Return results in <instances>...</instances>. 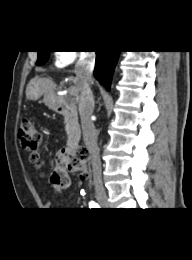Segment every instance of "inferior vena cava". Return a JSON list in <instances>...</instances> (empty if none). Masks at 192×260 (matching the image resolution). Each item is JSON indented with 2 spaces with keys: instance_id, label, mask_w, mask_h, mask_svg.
Here are the masks:
<instances>
[{
  "instance_id": "obj_1",
  "label": "inferior vena cava",
  "mask_w": 192,
  "mask_h": 260,
  "mask_svg": "<svg viewBox=\"0 0 192 260\" xmlns=\"http://www.w3.org/2000/svg\"><path fill=\"white\" fill-rule=\"evenodd\" d=\"M95 52L87 51L76 63L75 70L80 86L79 113L83 131V138L90 153L93 180L95 187H102L101 161L97 145V132L91 119L94 110V99L90 89L95 65Z\"/></svg>"
}]
</instances>
